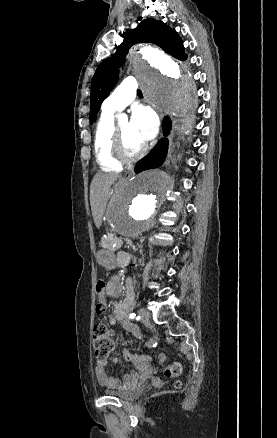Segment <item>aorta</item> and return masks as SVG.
Instances as JSON below:
<instances>
[{
    "instance_id": "1",
    "label": "aorta",
    "mask_w": 277,
    "mask_h": 438,
    "mask_svg": "<svg viewBox=\"0 0 277 438\" xmlns=\"http://www.w3.org/2000/svg\"><path fill=\"white\" fill-rule=\"evenodd\" d=\"M134 68L145 96L162 112L183 119L182 130L192 123L196 85L189 69L162 51L139 49ZM126 121L125 114L119 115ZM171 190L169 175L160 170L146 171L128 181L115 195L110 207V222L115 232L134 238L149 230Z\"/></svg>"
}]
</instances>
